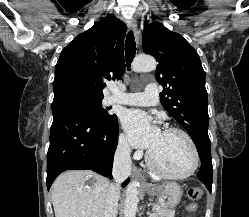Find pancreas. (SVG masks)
<instances>
[{
  "instance_id": "pancreas-1",
  "label": "pancreas",
  "mask_w": 249,
  "mask_h": 217,
  "mask_svg": "<svg viewBox=\"0 0 249 217\" xmlns=\"http://www.w3.org/2000/svg\"><path fill=\"white\" fill-rule=\"evenodd\" d=\"M174 210H166L158 204H154L149 217H174Z\"/></svg>"
}]
</instances>
